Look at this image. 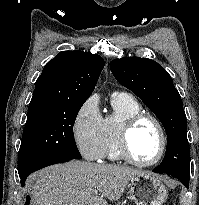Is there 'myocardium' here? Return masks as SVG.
<instances>
[{"mask_svg":"<svg viewBox=\"0 0 199 205\" xmlns=\"http://www.w3.org/2000/svg\"><path fill=\"white\" fill-rule=\"evenodd\" d=\"M146 120L152 122L159 132L160 149L158 155L153 160L141 162L138 161L131 153L130 136L132 130L137 126V124ZM117 146L121 158L126 162L138 167H150L159 163L163 159L167 149V136L165 129L158 118L148 113L139 112L129 116L122 122L118 132Z\"/></svg>","mask_w":199,"mask_h":205,"instance_id":"1","label":"myocardium"}]
</instances>
